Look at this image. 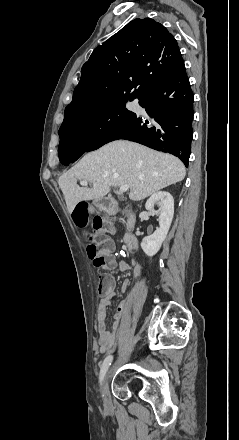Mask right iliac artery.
<instances>
[{"mask_svg": "<svg viewBox=\"0 0 239 440\" xmlns=\"http://www.w3.org/2000/svg\"><path fill=\"white\" fill-rule=\"evenodd\" d=\"M112 360H113V356L112 355H108L105 358V360L103 361L102 366H101V370H100V376H99L100 383H102V381H103V379L105 377V374H106L109 366L111 365Z\"/></svg>", "mask_w": 239, "mask_h": 440, "instance_id": "right-iliac-artery-1", "label": "right iliac artery"}]
</instances>
